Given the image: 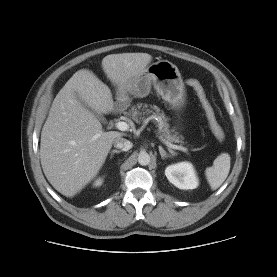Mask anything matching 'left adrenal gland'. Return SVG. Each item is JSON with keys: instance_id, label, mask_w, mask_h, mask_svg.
Listing matches in <instances>:
<instances>
[{"instance_id": "a2214340", "label": "left adrenal gland", "mask_w": 277, "mask_h": 277, "mask_svg": "<svg viewBox=\"0 0 277 277\" xmlns=\"http://www.w3.org/2000/svg\"><path fill=\"white\" fill-rule=\"evenodd\" d=\"M159 152H160V155H161V158L164 159L166 157H171L170 154H168L163 148L162 146H159Z\"/></svg>"}]
</instances>
